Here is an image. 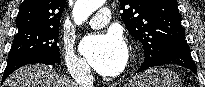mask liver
Instances as JSON below:
<instances>
[{"label":"liver","mask_w":205,"mask_h":87,"mask_svg":"<svg viewBox=\"0 0 205 87\" xmlns=\"http://www.w3.org/2000/svg\"><path fill=\"white\" fill-rule=\"evenodd\" d=\"M3 87H78L65 76L43 64L24 66L13 72Z\"/></svg>","instance_id":"obj_1"}]
</instances>
